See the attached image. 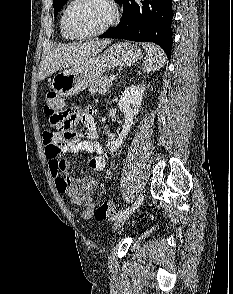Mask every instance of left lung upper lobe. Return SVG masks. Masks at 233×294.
I'll return each instance as SVG.
<instances>
[{
    "label": "left lung upper lobe",
    "mask_w": 233,
    "mask_h": 294,
    "mask_svg": "<svg viewBox=\"0 0 233 294\" xmlns=\"http://www.w3.org/2000/svg\"><path fill=\"white\" fill-rule=\"evenodd\" d=\"M68 0H53L54 7V16L61 10V8L65 5ZM117 3H120L122 0H115Z\"/></svg>",
    "instance_id": "1"
}]
</instances>
